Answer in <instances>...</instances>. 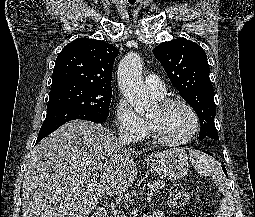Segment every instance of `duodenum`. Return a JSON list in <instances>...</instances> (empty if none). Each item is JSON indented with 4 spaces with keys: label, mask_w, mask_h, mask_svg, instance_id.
Wrapping results in <instances>:
<instances>
[{
    "label": "duodenum",
    "mask_w": 255,
    "mask_h": 217,
    "mask_svg": "<svg viewBox=\"0 0 255 217\" xmlns=\"http://www.w3.org/2000/svg\"><path fill=\"white\" fill-rule=\"evenodd\" d=\"M91 217H107V211L106 209H103V208L99 209L96 212H94Z\"/></svg>",
    "instance_id": "obj_1"
}]
</instances>
